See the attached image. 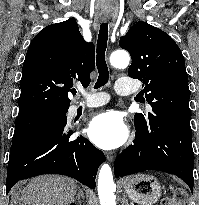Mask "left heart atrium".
Wrapping results in <instances>:
<instances>
[{
	"instance_id": "39dd6f15",
	"label": "left heart atrium",
	"mask_w": 199,
	"mask_h": 205,
	"mask_svg": "<svg viewBox=\"0 0 199 205\" xmlns=\"http://www.w3.org/2000/svg\"><path fill=\"white\" fill-rule=\"evenodd\" d=\"M87 133L97 146L113 149L126 141L128 128L118 112L109 111L95 116L89 124Z\"/></svg>"
}]
</instances>
